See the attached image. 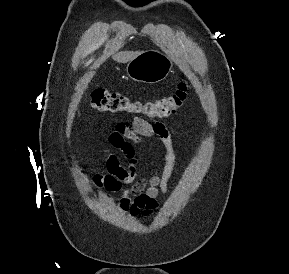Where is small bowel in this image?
I'll return each mask as SVG.
<instances>
[{"label": "small bowel", "instance_id": "small-bowel-1", "mask_svg": "<svg viewBox=\"0 0 289 274\" xmlns=\"http://www.w3.org/2000/svg\"><path fill=\"white\" fill-rule=\"evenodd\" d=\"M174 133L161 122L135 117L131 123L118 122L115 130L108 136L109 144L120 150L128 160L121 164L117 155L110 153L106 157V174H96L94 182L109 192L122 194L120 210L131 217H149L158 207V197L167 192V184L175 163L173 147ZM146 138H156L165 148L163 164L148 179L137 178L138 161L136 145H142Z\"/></svg>", "mask_w": 289, "mask_h": 274}]
</instances>
